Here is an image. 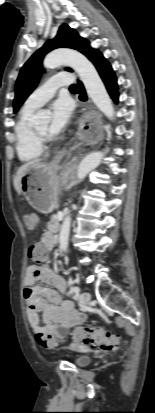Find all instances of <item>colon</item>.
I'll return each instance as SVG.
<instances>
[{"mask_svg":"<svg viewBox=\"0 0 155 413\" xmlns=\"http://www.w3.org/2000/svg\"><path fill=\"white\" fill-rule=\"evenodd\" d=\"M29 256L37 263L44 262L46 259L45 248L41 244H35L31 247ZM37 342L42 347L49 349L55 346V342L46 337H40ZM88 344L100 346L104 351H113L117 349L119 339L117 335L100 327L85 326L75 330L72 347L80 349Z\"/></svg>","mask_w":155,"mask_h":413,"instance_id":"colon-1","label":"colon"}]
</instances>
